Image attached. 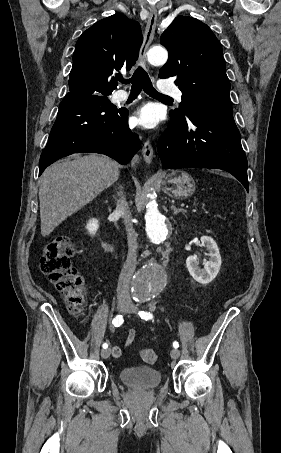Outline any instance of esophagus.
<instances>
[{
  "instance_id": "obj_1",
  "label": "esophagus",
  "mask_w": 281,
  "mask_h": 453,
  "mask_svg": "<svg viewBox=\"0 0 281 453\" xmlns=\"http://www.w3.org/2000/svg\"><path fill=\"white\" fill-rule=\"evenodd\" d=\"M157 25V10L151 9L148 17L147 25L144 32L143 43L139 52V60L145 70H149L146 60V52L154 39L155 30ZM143 158L146 163L150 164L153 158V148L149 140H147L142 147Z\"/></svg>"
}]
</instances>
